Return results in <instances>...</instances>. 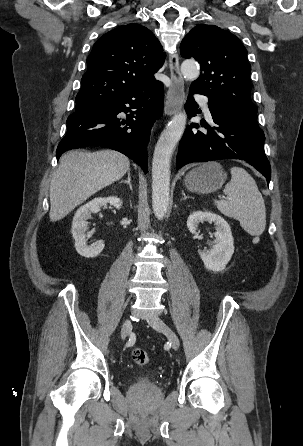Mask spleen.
Listing matches in <instances>:
<instances>
[{
  "label": "spleen",
  "mask_w": 303,
  "mask_h": 446,
  "mask_svg": "<svg viewBox=\"0 0 303 446\" xmlns=\"http://www.w3.org/2000/svg\"><path fill=\"white\" fill-rule=\"evenodd\" d=\"M231 181L225 186L227 200H214L218 210L240 222L251 236H259L266 226L264 199L253 177L241 167H232Z\"/></svg>",
  "instance_id": "3e777b00"
}]
</instances>
